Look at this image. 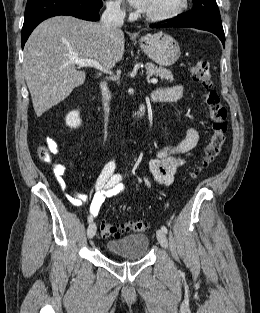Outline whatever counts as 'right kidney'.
<instances>
[{"mask_svg": "<svg viewBox=\"0 0 260 313\" xmlns=\"http://www.w3.org/2000/svg\"><path fill=\"white\" fill-rule=\"evenodd\" d=\"M66 125L77 128L81 125V119L78 111H72L66 116Z\"/></svg>", "mask_w": 260, "mask_h": 313, "instance_id": "1", "label": "right kidney"}]
</instances>
